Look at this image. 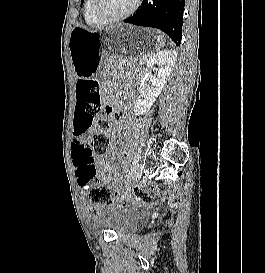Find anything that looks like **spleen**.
Wrapping results in <instances>:
<instances>
[{
    "label": "spleen",
    "instance_id": "obj_1",
    "mask_svg": "<svg viewBox=\"0 0 265 273\" xmlns=\"http://www.w3.org/2000/svg\"><path fill=\"white\" fill-rule=\"evenodd\" d=\"M156 39H157L158 47H159V48L164 47L165 42H164V39H163L162 35L157 34Z\"/></svg>",
    "mask_w": 265,
    "mask_h": 273
}]
</instances>
